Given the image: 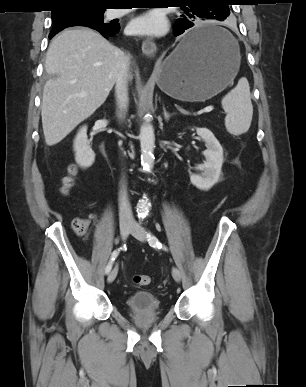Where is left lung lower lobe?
I'll use <instances>...</instances> for the list:
<instances>
[{"label": "left lung lower lobe", "instance_id": "0a47b994", "mask_svg": "<svg viewBox=\"0 0 306 387\" xmlns=\"http://www.w3.org/2000/svg\"><path fill=\"white\" fill-rule=\"evenodd\" d=\"M194 24L188 19H177L174 25V36H179L184 33L183 45L185 50L195 49L205 44L223 40V33L214 30H201L196 32H187V29L193 27Z\"/></svg>", "mask_w": 306, "mask_h": 387}]
</instances>
